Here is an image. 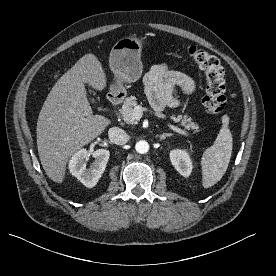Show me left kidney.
<instances>
[{
	"instance_id": "obj_1",
	"label": "left kidney",
	"mask_w": 276,
	"mask_h": 276,
	"mask_svg": "<svg viewBox=\"0 0 276 276\" xmlns=\"http://www.w3.org/2000/svg\"><path fill=\"white\" fill-rule=\"evenodd\" d=\"M170 160L175 169L184 177L192 172V161L187 150L175 149L170 152Z\"/></svg>"
}]
</instances>
